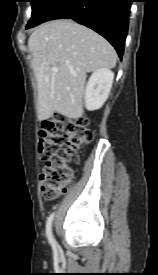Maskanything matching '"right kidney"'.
Here are the masks:
<instances>
[{
  "instance_id": "1",
  "label": "right kidney",
  "mask_w": 158,
  "mask_h": 275,
  "mask_svg": "<svg viewBox=\"0 0 158 275\" xmlns=\"http://www.w3.org/2000/svg\"><path fill=\"white\" fill-rule=\"evenodd\" d=\"M114 73L108 68H100L90 76L85 91V107L94 111L102 107L112 87Z\"/></svg>"
}]
</instances>
